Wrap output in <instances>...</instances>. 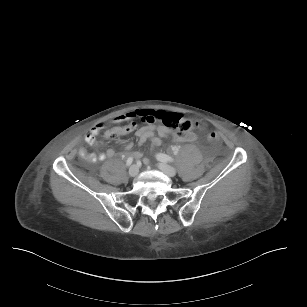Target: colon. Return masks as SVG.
Here are the masks:
<instances>
[{
	"mask_svg": "<svg viewBox=\"0 0 307 307\" xmlns=\"http://www.w3.org/2000/svg\"><path fill=\"white\" fill-rule=\"evenodd\" d=\"M155 120H158L164 126L176 131L178 134L181 135L192 132L195 129H198L200 131H205L206 129L205 125L201 121L185 118L178 113H162L158 117H156ZM131 129L132 125H129L128 127L123 129H115L113 131H109L108 136L113 140H117L122 134H124V132L130 131ZM207 138L211 143H217L218 134L213 130H209L207 132Z\"/></svg>",
	"mask_w": 307,
	"mask_h": 307,
	"instance_id": "5ec220e1",
	"label": "colon"
}]
</instances>
